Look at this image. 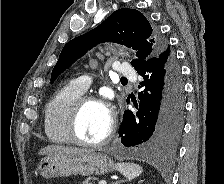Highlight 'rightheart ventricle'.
Segmentation results:
<instances>
[{
	"instance_id": "right-heart-ventricle-1",
	"label": "right heart ventricle",
	"mask_w": 224,
	"mask_h": 184,
	"mask_svg": "<svg viewBox=\"0 0 224 184\" xmlns=\"http://www.w3.org/2000/svg\"><path fill=\"white\" fill-rule=\"evenodd\" d=\"M83 95L74 84L59 89L45 109L44 129L47 138L55 144H68L67 121L74 102Z\"/></svg>"
}]
</instances>
